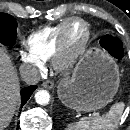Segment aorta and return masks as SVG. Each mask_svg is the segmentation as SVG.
I'll return each mask as SVG.
<instances>
[{"instance_id": "1", "label": "aorta", "mask_w": 130, "mask_h": 130, "mask_svg": "<svg viewBox=\"0 0 130 130\" xmlns=\"http://www.w3.org/2000/svg\"><path fill=\"white\" fill-rule=\"evenodd\" d=\"M35 100L39 105H47L50 100V95L46 90H39L35 94Z\"/></svg>"}]
</instances>
